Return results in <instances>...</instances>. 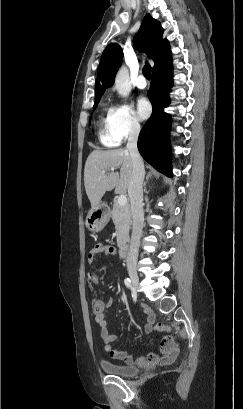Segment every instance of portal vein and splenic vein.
Returning <instances> with one entry per match:
<instances>
[{"mask_svg":"<svg viewBox=\"0 0 243 409\" xmlns=\"http://www.w3.org/2000/svg\"><path fill=\"white\" fill-rule=\"evenodd\" d=\"M109 171H114V169L112 168V169H110ZM103 172H105V171H103ZM117 202H118V204H119L120 206H125V205L127 204V197H126V195L120 194L119 197H118Z\"/></svg>","mask_w":243,"mask_h":409,"instance_id":"obj_1","label":"portal vein and splenic vein"}]
</instances>
